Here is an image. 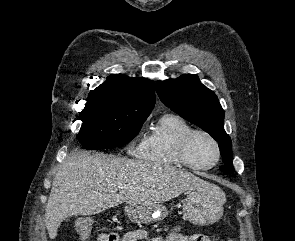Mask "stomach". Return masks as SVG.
<instances>
[{
	"label": "stomach",
	"mask_w": 295,
	"mask_h": 241,
	"mask_svg": "<svg viewBox=\"0 0 295 241\" xmlns=\"http://www.w3.org/2000/svg\"><path fill=\"white\" fill-rule=\"evenodd\" d=\"M225 202L226 197L221 188L208 183L188 194L183 202V218L197 226L213 224L221 218ZM124 210L132 222L140 224L156 222L167 215L166 207L157 204H128Z\"/></svg>",
	"instance_id": "1"
}]
</instances>
